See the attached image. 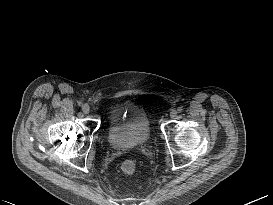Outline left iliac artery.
Instances as JSON below:
<instances>
[{
  "instance_id": "left-iliac-artery-1",
  "label": "left iliac artery",
  "mask_w": 273,
  "mask_h": 205,
  "mask_svg": "<svg viewBox=\"0 0 273 205\" xmlns=\"http://www.w3.org/2000/svg\"><path fill=\"white\" fill-rule=\"evenodd\" d=\"M178 112L180 113V112H182L183 111V108L182 107H178Z\"/></svg>"
}]
</instances>
